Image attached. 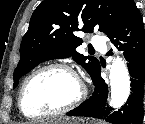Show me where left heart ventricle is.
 <instances>
[{"label": "left heart ventricle", "mask_w": 145, "mask_h": 124, "mask_svg": "<svg viewBox=\"0 0 145 124\" xmlns=\"http://www.w3.org/2000/svg\"><path fill=\"white\" fill-rule=\"evenodd\" d=\"M80 92L74 76L60 69L40 73L28 86L24 109L28 114L58 110L73 101Z\"/></svg>", "instance_id": "1"}]
</instances>
